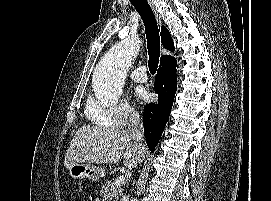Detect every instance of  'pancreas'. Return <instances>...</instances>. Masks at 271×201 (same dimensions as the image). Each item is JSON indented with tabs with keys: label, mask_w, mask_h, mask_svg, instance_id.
<instances>
[{
	"label": "pancreas",
	"mask_w": 271,
	"mask_h": 201,
	"mask_svg": "<svg viewBox=\"0 0 271 201\" xmlns=\"http://www.w3.org/2000/svg\"><path fill=\"white\" fill-rule=\"evenodd\" d=\"M103 201H118L122 194V186L116 185L114 180H107L100 191Z\"/></svg>",
	"instance_id": "1"
}]
</instances>
